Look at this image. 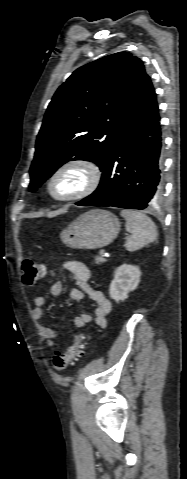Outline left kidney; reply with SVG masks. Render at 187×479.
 I'll return each instance as SVG.
<instances>
[{
  "label": "left kidney",
  "instance_id": "1",
  "mask_svg": "<svg viewBox=\"0 0 187 479\" xmlns=\"http://www.w3.org/2000/svg\"><path fill=\"white\" fill-rule=\"evenodd\" d=\"M140 276L141 271L137 266L122 264L117 267L109 288L110 297L116 302L127 299L129 292L137 288Z\"/></svg>",
  "mask_w": 187,
  "mask_h": 479
}]
</instances>
